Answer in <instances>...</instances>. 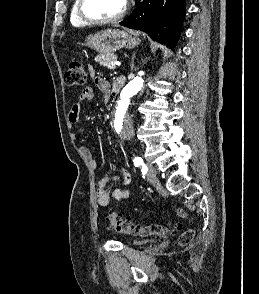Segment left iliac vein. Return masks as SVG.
Wrapping results in <instances>:
<instances>
[{"instance_id":"left-iliac-vein-1","label":"left iliac vein","mask_w":259,"mask_h":294,"mask_svg":"<svg viewBox=\"0 0 259 294\" xmlns=\"http://www.w3.org/2000/svg\"><path fill=\"white\" fill-rule=\"evenodd\" d=\"M146 175L149 181L153 182L156 180V169L153 165H147Z\"/></svg>"}]
</instances>
